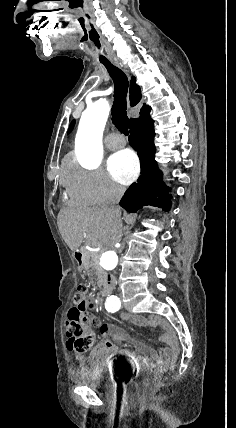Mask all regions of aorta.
Wrapping results in <instances>:
<instances>
[{
    "label": "aorta",
    "instance_id": "1",
    "mask_svg": "<svg viewBox=\"0 0 236 428\" xmlns=\"http://www.w3.org/2000/svg\"><path fill=\"white\" fill-rule=\"evenodd\" d=\"M109 111V102L100 99L82 113L75 139V149L81 163L87 167L97 166L102 159V135ZM117 265L118 256L114 251L109 250L102 254V268L113 270Z\"/></svg>",
    "mask_w": 236,
    "mask_h": 428
}]
</instances>
